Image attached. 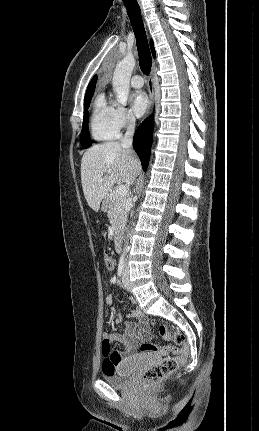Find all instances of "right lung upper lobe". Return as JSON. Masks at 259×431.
I'll return each mask as SVG.
<instances>
[{"mask_svg":"<svg viewBox=\"0 0 259 431\" xmlns=\"http://www.w3.org/2000/svg\"><path fill=\"white\" fill-rule=\"evenodd\" d=\"M150 47H151V50H152L153 56L155 57V50H154V45H153V42H152V41L150 42ZM96 82H97V76L95 75V76L92 78V80L90 81L89 85H88V88H87L86 94H89V93H91V92H94Z\"/></svg>","mask_w":259,"mask_h":431,"instance_id":"cb5924a9","label":"right lung upper lobe"}]
</instances>
